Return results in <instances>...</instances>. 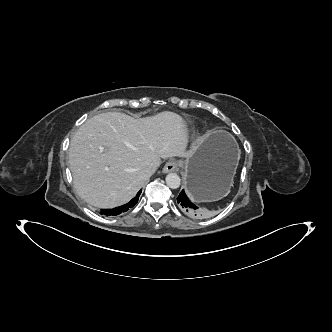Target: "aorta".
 Segmentation results:
<instances>
[{"label": "aorta", "mask_w": 332, "mask_h": 332, "mask_svg": "<svg viewBox=\"0 0 332 332\" xmlns=\"http://www.w3.org/2000/svg\"><path fill=\"white\" fill-rule=\"evenodd\" d=\"M166 184L171 189L179 188L181 184V179L176 173H170L166 176Z\"/></svg>", "instance_id": "762f6f07"}]
</instances>
